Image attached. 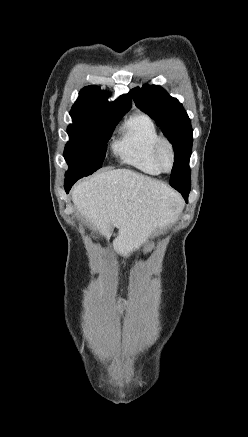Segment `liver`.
<instances>
[{"label":"liver","instance_id":"obj_1","mask_svg":"<svg viewBox=\"0 0 248 437\" xmlns=\"http://www.w3.org/2000/svg\"><path fill=\"white\" fill-rule=\"evenodd\" d=\"M77 210L108 240L113 227L119 232L114 244L127 256L157 229L176 218L178 194L167 184L129 169L101 172L72 190Z\"/></svg>","mask_w":248,"mask_h":437}]
</instances>
